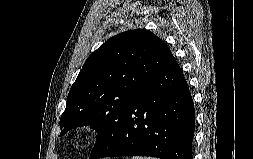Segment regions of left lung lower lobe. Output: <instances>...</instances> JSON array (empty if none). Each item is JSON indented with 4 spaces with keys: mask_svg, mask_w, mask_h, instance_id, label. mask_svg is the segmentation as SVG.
Masks as SVG:
<instances>
[{
    "mask_svg": "<svg viewBox=\"0 0 253 159\" xmlns=\"http://www.w3.org/2000/svg\"><path fill=\"white\" fill-rule=\"evenodd\" d=\"M195 109L188 84L174 58L122 111L114 131L90 159L151 156L193 159Z\"/></svg>",
    "mask_w": 253,
    "mask_h": 159,
    "instance_id": "left-lung-lower-lobe-1",
    "label": "left lung lower lobe"
}]
</instances>
